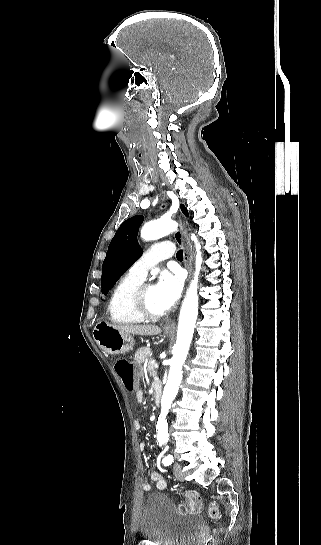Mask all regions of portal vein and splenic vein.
I'll use <instances>...</instances> for the list:
<instances>
[{"mask_svg": "<svg viewBox=\"0 0 321 545\" xmlns=\"http://www.w3.org/2000/svg\"><path fill=\"white\" fill-rule=\"evenodd\" d=\"M154 368H159V365H157V363H154Z\"/></svg>", "mask_w": 321, "mask_h": 545, "instance_id": "portal-vein-and-splenic-vein-1", "label": "portal vein and splenic vein"}]
</instances>
